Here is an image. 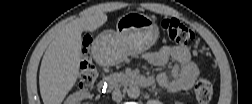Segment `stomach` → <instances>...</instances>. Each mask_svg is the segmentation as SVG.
<instances>
[{"label":"stomach","instance_id":"0dacf381","mask_svg":"<svg viewBox=\"0 0 252 104\" xmlns=\"http://www.w3.org/2000/svg\"><path fill=\"white\" fill-rule=\"evenodd\" d=\"M159 30L153 18L136 12L121 16L116 31L106 30L95 40L93 49L104 64L114 65L130 55L148 50L158 39Z\"/></svg>","mask_w":252,"mask_h":104}]
</instances>
